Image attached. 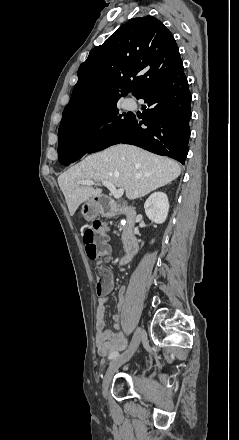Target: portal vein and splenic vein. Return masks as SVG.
I'll return each instance as SVG.
<instances>
[{
	"instance_id": "18ae733b",
	"label": "portal vein and splenic vein",
	"mask_w": 239,
	"mask_h": 440,
	"mask_svg": "<svg viewBox=\"0 0 239 440\" xmlns=\"http://www.w3.org/2000/svg\"><path fill=\"white\" fill-rule=\"evenodd\" d=\"M78 184H82V186H94L95 182H92V180H81V182H78ZM102 186L108 188L116 200L121 198L125 192L124 188H119V190H116L114 184H110V182H102Z\"/></svg>"
}]
</instances>
